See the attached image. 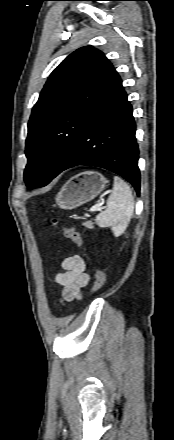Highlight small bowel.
<instances>
[{
    "label": "small bowel",
    "mask_w": 174,
    "mask_h": 440,
    "mask_svg": "<svg viewBox=\"0 0 174 440\" xmlns=\"http://www.w3.org/2000/svg\"><path fill=\"white\" fill-rule=\"evenodd\" d=\"M61 269L54 280L62 287V300L65 302L81 300L83 291L90 282V275L86 272L83 258L79 255L68 256L62 261Z\"/></svg>",
    "instance_id": "1"
}]
</instances>
